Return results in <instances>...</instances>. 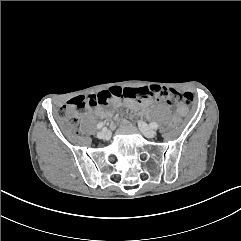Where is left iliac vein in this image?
<instances>
[{
  "label": "left iliac vein",
  "instance_id": "1",
  "mask_svg": "<svg viewBox=\"0 0 241 241\" xmlns=\"http://www.w3.org/2000/svg\"><path fill=\"white\" fill-rule=\"evenodd\" d=\"M138 125L145 137L154 138L156 136V131L149 127L145 122L139 121Z\"/></svg>",
  "mask_w": 241,
  "mask_h": 241
}]
</instances>
